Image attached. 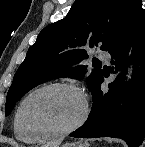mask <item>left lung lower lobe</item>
Listing matches in <instances>:
<instances>
[{
  "label": "left lung lower lobe",
  "instance_id": "left-lung-lower-lobe-1",
  "mask_svg": "<svg viewBox=\"0 0 145 147\" xmlns=\"http://www.w3.org/2000/svg\"><path fill=\"white\" fill-rule=\"evenodd\" d=\"M108 52L113 64L109 74L117 73V76L108 85V92H103L101 83L109 76L103 73L92 91L93 104L88 119L69 136L121 138L129 147H138L145 136V10L141 0L130 1ZM129 61H133L134 73L123 90L121 85H124Z\"/></svg>",
  "mask_w": 145,
  "mask_h": 147
}]
</instances>
